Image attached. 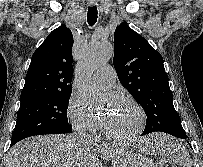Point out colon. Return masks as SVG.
<instances>
[{
    "label": "colon",
    "mask_w": 203,
    "mask_h": 167,
    "mask_svg": "<svg viewBox=\"0 0 203 167\" xmlns=\"http://www.w3.org/2000/svg\"><path fill=\"white\" fill-rule=\"evenodd\" d=\"M156 167H177L174 164H172L170 161L166 160V159H160L157 162Z\"/></svg>",
    "instance_id": "colon-1"
}]
</instances>
